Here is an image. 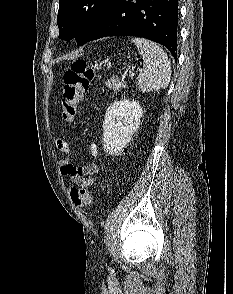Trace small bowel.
Here are the masks:
<instances>
[{"label":"small bowel","instance_id":"1","mask_svg":"<svg viewBox=\"0 0 233 294\" xmlns=\"http://www.w3.org/2000/svg\"><path fill=\"white\" fill-rule=\"evenodd\" d=\"M59 149L69 152L70 147L64 141H57ZM90 154L97 158L98 150L94 143L89 145ZM98 172V167L96 165H85V166H76L69 161L61 162V173L71 180L72 183L82 187H89L94 184L95 174Z\"/></svg>","mask_w":233,"mask_h":294}]
</instances>
